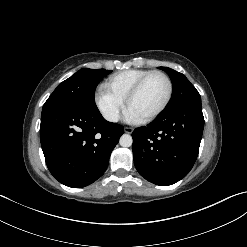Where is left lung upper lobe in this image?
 <instances>
[{"mask_svg":"<svg viewBox=\"0 0 247 247\" xmlns=\"http://www.w3.org/2000/svg\"><path fill=\"white\" fill-rule=\"evenodd\" d=\"M159 69L164 70L170 76L173 84L172 99L166 109L186 103L201 102L200 94L184 74L168 67H159Z\"/></svg>","mask_w":247,"mask_h":247,"instance_id":"5c2ea615","label":"left lung upper lobe"}]
</instances>
